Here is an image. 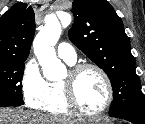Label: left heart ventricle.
Returning <instances> with one entry per match:
<instances>
[{"label":"left heart ventricle","mask_w":145,"mask_h":124,"mask_svg":"<svg viewBox=\"0 0 145 124\" xmlns=\"http://www.w3.org/2000/svg\"><path fill=\"white\" fill-rule=\"evenodd\" d=\"M75 92L79 103L87 111L99 109L107 97L105 83L95 70H85L76 78Z\"/></svg>","instance_id":"obj_1"}]
</instances>
